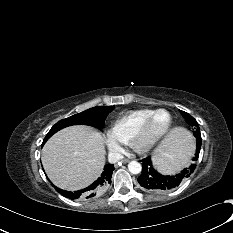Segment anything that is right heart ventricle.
<instances>
[{
  "label": "right heart ventricle",
  "mask_w": 233,
  "mask_h": 233,
  "mask_svg": "<svg viewBox=\"0 0 233 233\" xmlns=\"http://www.w3.org/2000/svg\"><path fill=\"white\" fill-rule=\"evenodd\" d=\"M153 111L150 108L131 110L118 117L109 130V136L119 145H129L141 122Z\"/></svg>",
  "instance_id": "e07e8e85"
}]
</instances>
